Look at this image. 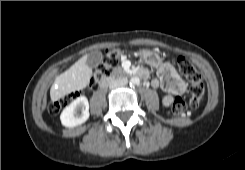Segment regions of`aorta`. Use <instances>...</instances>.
Instances as JSON below:
<instances>
[{
  "label": "aorta",
  "mask_w": 245,
  "mask_h": 170,
  "mask_svg": "<svg viewBox=\"0 0 245 170\" xmlns=\"http://www.w3.org/2000/svg\"><path fill=\"white\" fill-rule=\"evenodd\" d=\"M129 82L131 86H137L140 84V79L137 76H132Z\"/></svg>",
  "instance_id": "1"
}]
</instances>
